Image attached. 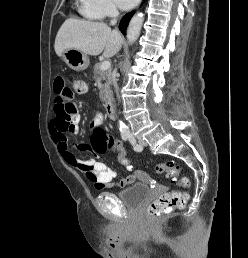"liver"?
<instances>
[{"label": "liver", "mask_w": 248, "mask_h": 258, "mask_svg": "<svg viewBox=\"0 0 248 258\" xmlns=\"http://www.w3.org/2000/svg\"><path fill=\"white\" fill-rule=\"evenodd\" d=\"M122 43V35L103 22L67 19L57 33L54 48L58 56L66 49H75L91 56L103 52L104 57L110 58Z\"/></svg>", "instance_id": "obj_1"}]
</instances>
